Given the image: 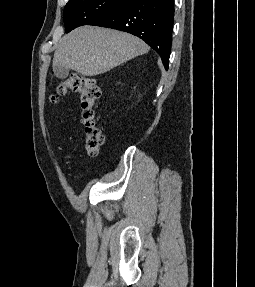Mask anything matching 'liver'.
Here are the masks:
<instances>
[{
    "mask_svg": "<svg viewBox=\"0 0 255 287\" xmlns=\"http://www.w3.org/2000/svg\"><path fill=\"white\" fill-rule=\"evenodd\" d=\"M148 50L140 38L126 32L81 26L61 38L53 66L75 70L82 76H98Z\"/></svg>",
    "mask_w": 255,
    "mask_h": 287,
    "instance_id": "1",
    "label": "liver"
}]
</instances>
